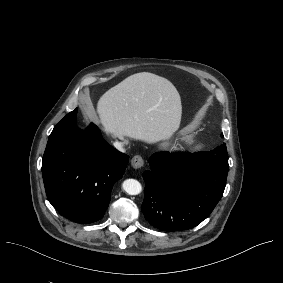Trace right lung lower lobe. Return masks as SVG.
<instances>
[{
    "label": "right lung lower lobe",
    "instance_id": "98d812e1",
    "mask_svg": "<svg viewBox=\"0 0 283 283\" xmlns=\"http://www.w3.org/2000/svg\"><path fill=\"white\" fill-rule=\"evenodd\" d=\"M76 108L53 129L42 160V175L49 202L64 217L93 223L104 216L110 192L127 166L125 155L101 136L94 125L76 127Z\"/></svg>",
    "mask_w": 283,
    "mask_h": 283
}]
</instances>
